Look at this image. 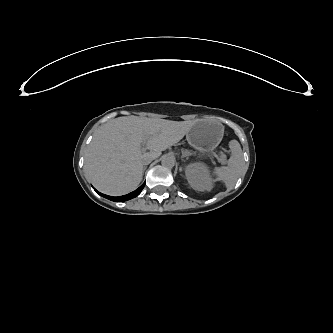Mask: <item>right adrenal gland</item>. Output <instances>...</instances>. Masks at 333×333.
<instances>
[{
    "instance_id": "obj_1",
    "label": "right adrenal gland",
    "mask_w": 333,
    "mask_h": 333,
    "mask_svg": "<svg viewBox=\"0 0 333 333\" xmlns=\"http://www.w3.org/2000/svg\"><path fill=\"white\" fill-rule=\"evenodd\" d=\"M146 168H147V167H146V166H144V168H143V171H145V170H146Z\"/></svg>"
}]
</instances>
